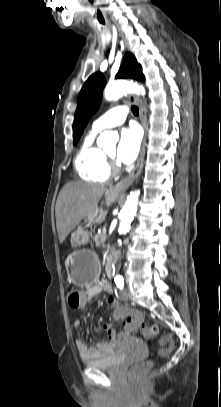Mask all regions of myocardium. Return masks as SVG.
<instances>
[{
    "instance_id": "obj_1",
    "label": "myocardium",
    "mask_w": 221,
    "mask_h": 407,
    "mask_svg": "<svg viewBox=\"0 0 221 407\" xmlns=\"http://www.w3.org/2000/svg\"><path fill=\"white\" fill-rule=\"evenodd\" d=\"M105 155H106L107 161H108V163L110 164V167L112 168V170H113V171H117V167H116V165L113 163V156H110V155H108V154H105Z\"/></svg>"
}]
</instances>
